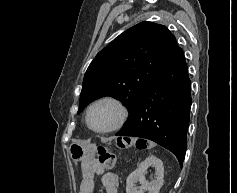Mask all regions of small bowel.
<instances>
[{"label": "small bowel", "instance_id": "obj_1", "mask_svg": "<svg viewBox=\"0 0 237 193\" xmlns=\"http://www.w3.org/2000/svg\"><path fill=\"white\" fill-rule=\"evenodd\" d=\"M95 175H101L106 193H118V177L98 167L94 159H88L83 166V178L79 193H94Z\"/></svg>", "mask_w": 237, "mask_h": 193}]
</instances>
